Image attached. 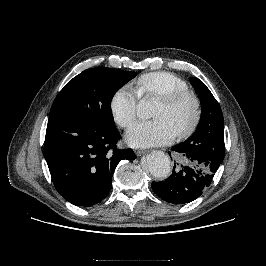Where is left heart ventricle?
Wrapping results in <instances>:
<instances>
[{
	"label": "left heart ventricle",
	"mask_w": 266,
	"mask_h": 266,
	"mask_svg": "<svg viewBox=\"0 0 266 266\" xmlns=\"http://www.w3.org/2000/svg\"><path fill=\"white\" fill-rule=\"evenodd\" d=\"M193 116V105L190 101H184L174 107H169L158 101L153 111V117L166 119L175 132L186 128Z\"/></svg>",
	"instance_id": "b2bd125f"
}]
</instances>
